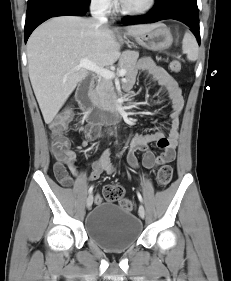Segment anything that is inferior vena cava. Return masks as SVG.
Listing matches in <instances>:
<instances>
[{"instance_id": "1", "label": "inferior vena cava", "mask_w": 231, "mask_h": 281, "mask_svg": "<svg viewBox=\"0 0 231 281\" xmlns=\"http://www.w3.org/2000/svg\"><path fill=\"white\" fill-rule=\"evenodd\" d=\"M107 0H92L90 11L93 19L97 20L99 24H107L106 10L108 8Z\"/></svg>"}]
</instances>
